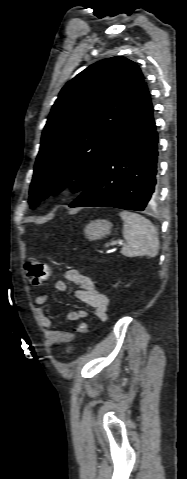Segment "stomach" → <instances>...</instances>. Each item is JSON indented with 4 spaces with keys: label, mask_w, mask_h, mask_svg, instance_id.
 I'll use <instances>...</instances> for the list:
<instances>
[{
    "label": "stomach",
    "mask_w": 187,
    "mask_h": 479,
    "mask_svg": "<svg viewBox=\"0 0 187 479\" xmlns=\"http://www.w3.org/2000/svg\"><path fill=\"white\" fill-rule=\"evenodd\" d=\"M112 228L108 220H94L86 225L84 233L89 240H97L110 234Z\"/></svg>",
    "instance_id": "obj_1"
}]
</instances>
